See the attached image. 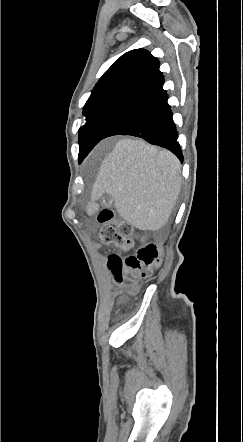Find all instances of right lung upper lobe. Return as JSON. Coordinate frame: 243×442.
Wrapping results in <instances>:
<instances>
[{
	"instance_id": "cb5924a9",
	"label": "right lung upper lobe",
	"mask_w": 243,
	"mask_h": 442,
	"mask_svg": "<svg viewBox=\"0 0 243 442\" xmlns=\"http://www.w3.org/2000/svg\"><path fill=\"white\" fill-rule=\"evenodd\" d=\"M159 61L145 49L122 55L99 79L89 99L110 94L127 95L160 77ZM88 99V100H89Z\"/></svg>"
}]
</instances>
